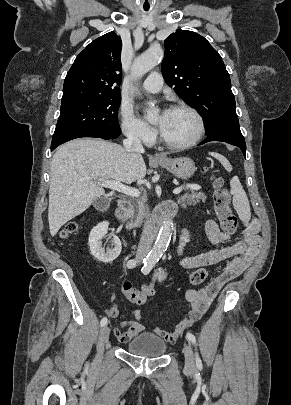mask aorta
Here are the masks:
<instances>
[{"label":"aorta","instance_id":"aorta-1","mask_svg":"<svg viewBox=\"0 0 291 405\" xmlns=\"http://www.w3.org/2000/svg\"><path fill=\"white\" fill-rule=\"evenodd\" d=\"M163 57L164 51L160 46L149 48L134 60L132 76L136 79L142 77L159 64ZM149 114L153 115L154 112H149ZM172 229L173 221L170 218L165 219L160 228L155 244L148 254V260L157 261L163 255L171 240Z\"/></svg>","mask_w":291,"mask_h":405}]
</instances>
